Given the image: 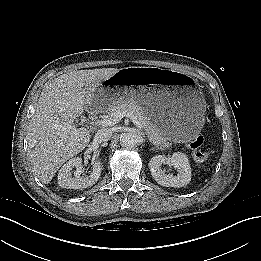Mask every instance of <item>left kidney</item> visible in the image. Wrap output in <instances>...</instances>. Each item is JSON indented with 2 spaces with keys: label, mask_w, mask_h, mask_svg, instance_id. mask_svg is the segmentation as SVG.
Masks as SVG:
<instances>
[{
  "label": "left kidney",
  "mask_w": 261,
  "mask_h": 261,
  "mask_svg": "<svg viewBox=\"0 0 261 261\" xmlns=\"http://www.w3.org/2000/svg\"><path fill=\"white\" fill-rule=\"evenodd\" d=\"M167 164L177 170V174H167L162 165ZM150 172L155 181L165 187H184L191 180V167L188 157L184 153H174L167 158L163 155H156L148 163Z\"/></svg>",
  "instance_id": "left-kidney-1"
}]
</instances>
